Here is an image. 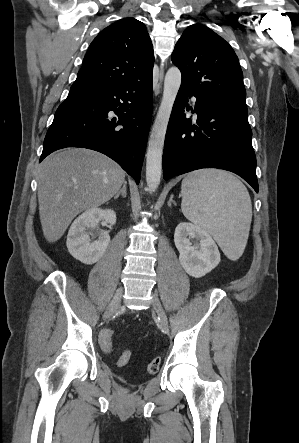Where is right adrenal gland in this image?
I'll list each match as a JSON object with an SVG mask.
<instances>
[{"instance_id":"obj_1","label":"right adrenal gland","mask_w":299,"mask_h":443,"mask_svg":"<svg viewBox=\"0 0 299 443\" xmlns=\"http://www.w3.org/2000/svg\"><path fill=\"white\" fill-rule=\"evenodd\" d=\"M126 185H127V182L124 181L122 189L119 192H117V194L114 196V199H118L120 195H122L123 198L126 197V195H127Z\"/></svg>"}]
</instances>
